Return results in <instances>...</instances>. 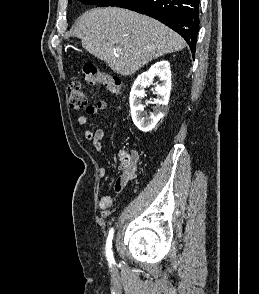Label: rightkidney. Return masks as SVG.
<instances>
[{"mask_svg": "<svg viewBox=\"0 0 259 294\" xmlns=\"http://www.w3.org/2000/svg\"><path fill=\"white\" fill-rule=\"evenodd\" d=\"M155 77L160 78V84H157L155 91L157 99L156 106L150 116L144 117L142 98L145 96L144 88L152 83ZM171 90V70L168 61H159L150 67V69L137 77L130 92L131 116L136 127L143 131H151L158 121L164 116L166 106L169 102Z\"/></svg>", "mask_w": 259, "mask_h": 294, "instance_id": "right-kidney-1", "label": "right kidney"}]
</instances>
